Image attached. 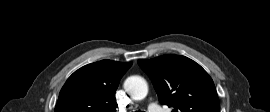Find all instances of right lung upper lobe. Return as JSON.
I'll list each match as a JSON object with an SVG mask.
<instances>
[{
	"instance_id": "right-lung-upper-lobe-1",
	"label": "right lung upper lobe",
	"mask_w": 270,
	"mask_h": 112,
	"mask_svg": "<svg viewBox=\"0 0 270 112\" xmlns=\"http://www.w3.org/2000/svg\"><path fill=\"white\" fill-rule=\"evenodd\" d=\"M131 65L101 60L78 69L62 87L55 112H116L115 92Z\"/></svg>"
}]
</instances>
